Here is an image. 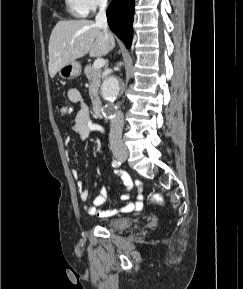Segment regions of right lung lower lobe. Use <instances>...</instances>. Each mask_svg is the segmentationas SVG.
Segmentation results:
<instances>
[{"instance_id": "right-lung-lower-lobe-1", "label": "right lung lower lobe", "mask_w": 243, "mask_h": 289, "mask_svg": "<svg viewBox=\"0 0 243 289\" xmlns=\"http://www.w3.org/2000/svg\"><path fill=\"white\" fill-rule=\"evenodd\" d=\"M134 0H112L107 9V20L111 30L129 48L133 36Z\"/></svg>"}]
</instances>
